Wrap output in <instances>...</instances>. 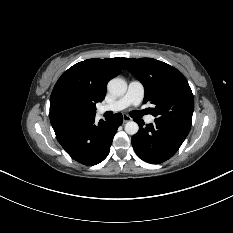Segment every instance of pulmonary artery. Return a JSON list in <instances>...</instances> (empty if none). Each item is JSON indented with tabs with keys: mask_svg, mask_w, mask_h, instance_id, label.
Here are the masks:
<instances>
[{
	"mask_svg": "<svg viewBox=\"0 0 233 233\" xmlns=\"http://www.w3.org/2000/svg\"><path fill=\"white\" fill-rule=\"evenodd\" d=\"M144 98V86L141 82L137 80H132L129 82L127 92L119 99L113 101L112 103L105 104L99 107V112L104 113L107 111L118 112L124 110L130 105H139ZM147 123L154 122L155 118L152 115H148L145 118Z\"/></svg>",
	"mask_w": 233,
	"mask_h": 233,
	"instance_id": "pulmonary-artery-1",
	"label": "pulmonary artery"
}]
</instances>
